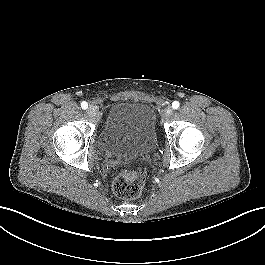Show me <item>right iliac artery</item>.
<instances>
[{
    "label": "right iliac artery",
    "mask_w": 265,
    "mask_h": 265,
    "mask_svg": "<svg viewBox=\"0 0 265 265\" xmlns=\"http://www.w3.org/2000/svg\"><path fill=\"white\" fill-rule=\"evenodd\" d=\"M81 108H82V109H87V108H88V103L85 102V101H83V102L81 103Z\"/></svg>",
    "instance_id": "right-iliac-artery-1"
}]
</instances>
